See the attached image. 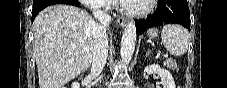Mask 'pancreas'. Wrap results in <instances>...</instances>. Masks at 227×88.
I'll use <instances>...</instances> for the list:
<instances>
[{
	"label": "pancreas",
	"mask_w": 227,
	"mask_h": 88,
	"mask_svg": "<svg viewBox=\"0 0 227 88\" xmlns=\"http://www.w3.org/2000/svg\"><path fill=\"white\" fill-rule=\"evenodd\" d=\"M164 64L171 70H178L177 63L174 59H166Z\"/></svg>",
	"instance_id": "cf45deb5"
}]
</instances>
